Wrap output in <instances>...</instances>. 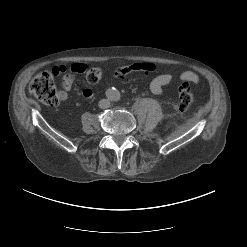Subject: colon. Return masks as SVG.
I'll use <instances>...</instances> for the list:
<instances>
[{"label":"colon","mask_w":247,"mask_h":247,"mask_svg":"<svg viewBox=\"0 0 247 247\" xmlns=\"http://www.w3.org/2000/svg\"><path fill=\"white\" fill-rule=\"evenodd\" d=\"M102 75V69L97 67L90 68L86 73V80L89 84L94 85L98 83ZM29 90L46 105L56 106L61 101L54 84L53 74L50 72L37 74L32 79ZM176 92L177 110L181 113L189 111L194 101V96L189 86L186 83H181L177 86Z\"/></svg>","instance_id":"5ec220e1"}]
</instances>
